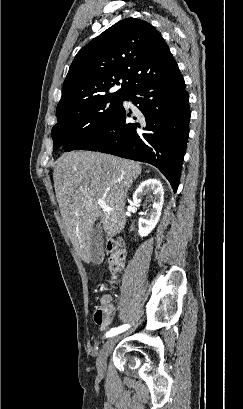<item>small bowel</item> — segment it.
<instances>
[{"mask_svg": "<svg viewBox=\"0 0 243 409\" xmlns=\"http://www.w3.org/2000/svg\"><path fill=\"white\" fill-rule=\"evenodd\" d=\"M102 306L106 307L109 310V315H107L105 321L100 325V330L105 332L113 322L112 313L115 311V306L112 303V298L110 295H104L100 299Z\"/></svg>", "mask_w": 243, "mask_h": 409, "instance_id": "1", "label": "small bowel"}]
</instances>
